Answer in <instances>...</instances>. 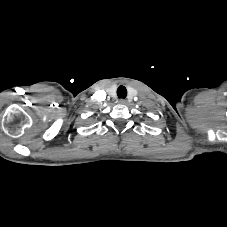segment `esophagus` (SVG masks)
Listing matches in <instances>:
<instances>
[{
	"label": "esophagus",
	"mask_w": 227,
	"mask_h": 227,
	"mask_svg": "<svg viewBox=\"0 0 227 227\" xmlns=\"http://www.w3.org/2000/svg\"><path fill=\"white\" fill-rule=\"evenodd\" d=\"M118 102H119L120 104H125V103H126V100H125V99H120Z\"/></svg>",
	"instance_id": "obj_1"
}]
</instances>
